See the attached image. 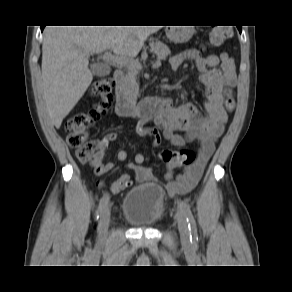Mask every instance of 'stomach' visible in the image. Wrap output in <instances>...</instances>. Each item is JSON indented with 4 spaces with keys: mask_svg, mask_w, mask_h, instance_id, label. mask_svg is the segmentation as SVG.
<instances>
[{
    "mask_svg": "<svg viewBox=\"0 0 292 292\" xmlns=\"http://www.w3.org/2000/svg\"><path fill=\"white\" fill-rule=\"evenodd\" d=\"M193 33V26L170 27V29H166L168 39L174 43H184L189 41Z\"/></svg>",
    "mask_w": 292,
    "mask_h": 292,
    "instance_id": "stomach-1",
    "label": "stomach"
}]
</instances>
